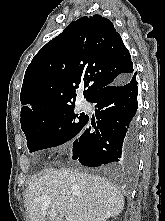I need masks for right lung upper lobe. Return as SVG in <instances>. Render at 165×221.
I'll list each match as a JSON object with an SVG mask.
<instances>
[{
  "mask_svg": "<svg viewBox=\"0 0 165 221\" xmlns=\"http://www.w3.org/2000/svg\"><path fill=\"white\" fill-rule=\"evenodd\" d=\"M134 74L129 51L112 22L100 15L70 23L43 46L27 67L20 94V122L74 105L79 84L86 100Z\"/></svg>",
  "mask_w": 165,
  "mask_h": 221,
  "instance_id": "obj_1",
  "label": "right lung upper lobe"
}]
</instances>
